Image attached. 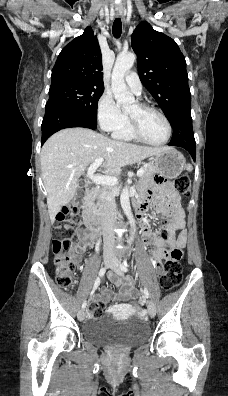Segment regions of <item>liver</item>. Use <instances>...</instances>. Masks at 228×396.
I'll return each instance as SVG.
<instances>
[{
  "instance_id": "obj_1",
  "label": "liver",
  "mask_w": 228,
  "mask_h": 396,
  "mask_svg": "<svg viewBox=\"0 0 228 396\" xmlns=\"http://www.w3.org/2000/svg\"><path fill=\"white\" fill-rule=\"evenodd\" d=\"M167 149L113 140L87 128H67L55 133L43 145L40 156L51 223L73 199L80 176L96 159H105L102 165L105 174L118 175L123 167Z\"/></svg>"
}]
</instances>
